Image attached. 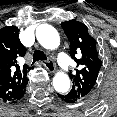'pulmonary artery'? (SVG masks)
<instances>
[{
  "instance_id": "1",
  "label": "pulmonary artery",
  "mask_w": 117,
  "mask_h": 117,
  "mask_svg": "<svg viewBox=\"0 0 117 117\" xmlns=\"http://www.w3.org/2000/svg\"><path fill=\"white\" fill-rule=\"evenodd\" d=\"M58 60L60 62V65L63 69H68L69 67V63L67 61V59L65 58L64 54L63 53H60L58 55Z\"/></svg>"
}]
</instances>
